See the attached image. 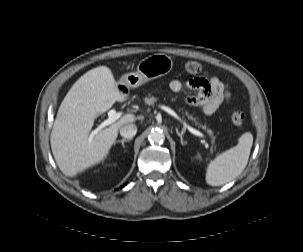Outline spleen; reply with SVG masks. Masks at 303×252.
<instances>
[{
  "label": "spleen",
  "instance_id": "1",
  "mask_svg": "<svg viewBox=\"0 0 303 252\" xmlns=\"http://www.w3.org/2000/svg\"><path fill=\"white\" fill-rule=\"evenodd\" d=\"M253 136L250 132L242 134L238 145L219 154L210 161L206 170V182L211 186L224 185L236 178L245 169Z\"/></svg>",
  "mask_w": 303,
  "mask_h": 252
}]
</instances>
